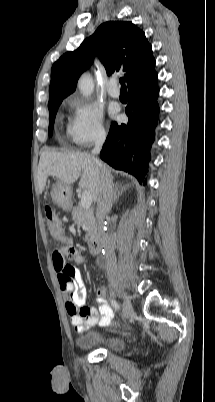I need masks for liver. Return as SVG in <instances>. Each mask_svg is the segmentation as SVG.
<instances>
[{"label": "liver", "instance_id": "obj_1", "mask_svg": "<svg viewBox=\"0 0 215 402\" xmlns=\"http://www.w3.org/2000/svg\"><path fill=\"white\" fill-rule=\"evenodd\" d=\"M96 160L90 154L83 152L44 151L40 156L38 166V192L41 194L44 191L49 176L56 177L66 185L74 183L81 176L79 187L88 191L96 201L100 172ZM101 165L112 178V168L105 163H101Z\"/></svg>", "mask_w": 215, "mask_h": 402}]
</instances>
